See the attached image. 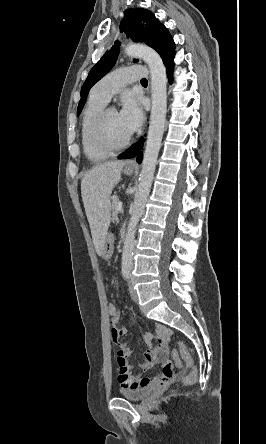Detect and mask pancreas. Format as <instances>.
<instances>
[{"label": "pancreas", "instance_id": "obj_1", "mask_svg": "<svg viewBox=\"0 0 266 444\" xmlns=\"http://www.w3.org/2000/svg\"><path fill=\"white\" fill-rule=\"evenodd\" d=\"M119 200L117 197L112 198L111 202V210H112V218L116 219L118 215L117 206H118Z\"/></svg>", "mask_w": 266, "mask_h": 444}]
</instances>
